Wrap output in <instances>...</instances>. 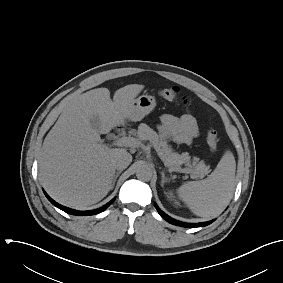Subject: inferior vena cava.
Returning a JSON list of instances; mask_svg holds the SVG:
<instances>
[{
  "mask_svg": "<svg viewBox=\"0 0 283 283\" xmlns=\"http://www.w3.org/2000/svg\"><path fill=\"white\" fill-rule=\"evenodd\" d=\"M132 161V156L130 153L128 152H122L119 153L115 158H114V166L115 169L117 170H124L125 168H127L129 166V164Z\"/></svg>",
  "mask_w": 283,
  "mask_h": 283,
  "instance_id": "inferior-vena-cava-1",
  "label": "inferior vena cava"
}]
</instances>
